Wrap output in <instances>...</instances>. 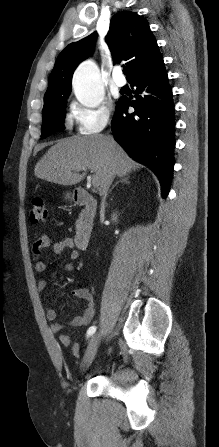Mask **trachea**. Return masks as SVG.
Listing matches in <instances>:
<instances>
[{
  "mask_svg": "<svg viewBox=\"0 0 219 447\" xmlns=\"http://www.w3.org/2000/svg\"><path fill=\"white\" fill-rule=\"evenodd\" d=\"M123 73H124L125 75L128 73V68H127V67H124V68H123Z\"/></svg>",
  "mask_w": 219,
  "mask_h": 447,
  "instance_id": "1",
  "label": "trachea"
}]
</instances>
